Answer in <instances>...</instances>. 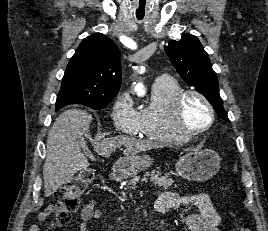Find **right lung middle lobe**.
Wrapping results in <instances>:
<instances>
[{"mask_svg":"<svg viewBox=\"0 0 268 231\" xmlns=\"http://www.w3.org/2000/svg\"><path fill=\"white\" fill-rule=\"evenodd\" d=\"M112 99H108V100H102V101H96V102H86V103H78V104H82L85 106H88L92 109H96V110H100L102 108H105L111 101ZM68 105V104H63V103H58L56 101V111L59 110L61 107Z\"/></svg>","mask_w":268,"mask_h":231,"instance_id":"obj_1","label":"right lung middle lobe"}]
</instances>
